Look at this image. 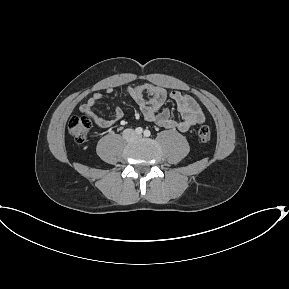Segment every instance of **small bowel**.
<instances>
[{
  "instance_id": "1",
  "label": "small bowel",
  "mask_w": 289,
  "mask_h": 289,
  "mask_svg": "<svg viewBox=\"0 0 289 289\" xmlns=\"http://www.w3.org/2000/svg\"><path fill=\"white\" fill-rule=\"evenodd\" d=\"M125 90L138 104L144 119L148 122L156 123L164 128L178 129L181 132H186L191 127L205 121L202 107L188 94L179 91L168 93L166 89L149 83L129 85ZM112 91L113 89L111 88L107 89V93H112ZM168 97L176 103L180 113V119L174 118L168 108L160 111V108ZM101 99V93H94L87 102L80 107V111L90 116L98 127L105 129L121 121L124 113L120 107L116 106L111 119L96 115L94 107Z\"/></svg>"
}]
</instances>
